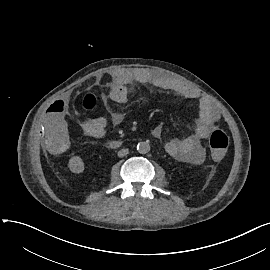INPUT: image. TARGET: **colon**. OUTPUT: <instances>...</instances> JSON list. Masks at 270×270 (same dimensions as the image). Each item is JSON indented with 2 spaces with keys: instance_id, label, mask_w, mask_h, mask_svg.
Returning <instances> with one entry per match:
<instances>
[{
  "instance_id": "1",
  "label": "colon",
  "mask_w": 270,
  "mask_h": 270,
  "mask_svg": "<svg viewBox=\"0 0 270 270\" xmlns=\"http://www.w3.org/2000/svg\"><path fill=\"white\" fill-rule=\"evenodd\" d=\"M108 85L102 84L94 90L78 93L75 96V102L80 105L83 114H91L98 105V95L106 93ZM230 143V137L226 130L215 129L209 137V146L213 153V158L217 162H222L226 158V149Z\"/></svg>"
}]
</instances>
